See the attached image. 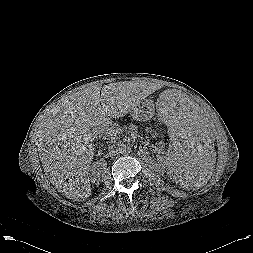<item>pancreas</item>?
Segmentation results:
<instances>
[{
    "label": "pancreas",
    "mask_w": 253,
    "mask_h": 253,
    "mask_svg": "<svg viewBox=\"0 0 253 253\" xmlns=\"http://www.w3.org/2000/svg\"><path fill=\"white\" fill-rule=\"evenodd\" d=\"M100 135L104 134V139L109 141H115L118 139V135L120 134V130L114 126L108 128V127H102L99 130Z\"/></svg>",
    "instance_id": "obj_1"
}]
</instances>
